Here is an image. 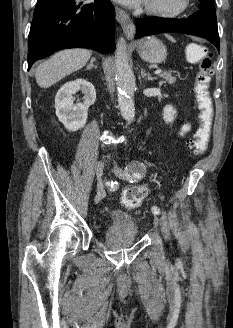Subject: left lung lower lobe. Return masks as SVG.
Returning a JSON list of instances; mask_svg holds the SVG:
<instances>
[{"instance_id": "obj_1", "label": "left lung lower lobe", "mask_w": 233, "mask_h": 328, "mask_svg": "<svg viewBox=\"0 0 233 328\" xmlns=\"http://www.w3.org/2000/svg\"><path fill=\"white\" fill-rule=\"evenodd\" d=\"M176 32L203 37L220 46L217 20L215 14H208L202 10L195 12L183 20H173L158 17L139 19L137 21L136 38L153 33Z\"/></svg>"}]
</instances>
